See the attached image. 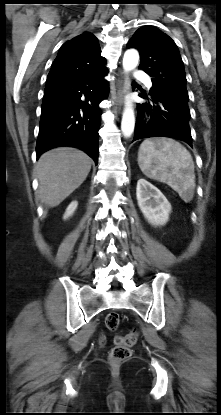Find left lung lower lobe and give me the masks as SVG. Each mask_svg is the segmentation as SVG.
<instances>
[{
  "label": "left lung lower lobe",
  "mask_w": 221,
  "mask_h": 415,
  "mask_svg": "<svg viewBox=\"0 0 221 415\" xmlns=\"http://www.w3.org/2000/svg\"><path fill=\"white\" fill-rule=\"evenodd\" d=\"M139 96L151 101L138 104L139 115L135 125L134 139L150 137H171L182 140L192 146V137L189 126L190 110L188 97L168 92H149L140 90ZM148 112L150 121L141 120V113Z\"/></svg>",
  "instance_id": "obj_1"
}]
</instances>
